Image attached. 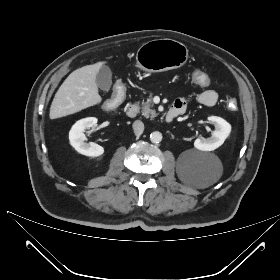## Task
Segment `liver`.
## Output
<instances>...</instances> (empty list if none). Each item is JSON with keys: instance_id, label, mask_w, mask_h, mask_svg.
I'll use <instances>...</instances> for the list:
<instances>
[{"instance_id": "liver-1", "label": "liver", "mask_w": 280, "mask_h": 280, "mask_svg": "<svg viewBox=\"0 0 280 280\" xmlns=\"http://www.w3.org/2000/svg\"><path fill=\"white\" fill-rule=\"evenodd\" d=\"M104 63L83 66L65 79L52 101L50 119L74 114L101 102L96 75Z\"/></svg>"}]
</instances>
